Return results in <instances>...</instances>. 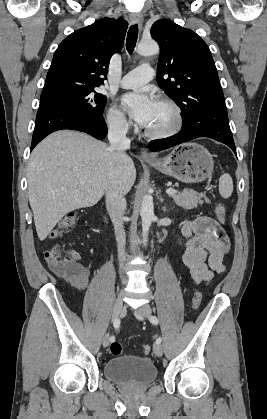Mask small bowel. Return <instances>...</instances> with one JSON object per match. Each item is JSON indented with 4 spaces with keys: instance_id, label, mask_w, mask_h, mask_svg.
<instances>
[{
    "instance_id": "small-bowel-1",
    "label": "small bowel",
    "mask_w": 267,
    "mask_h": 419,
    "mask_svg": "<svg viewBox=\"0 0 267 419\" xmlns=\"http://www.w3.org/2000/svg\"><path fill=\"white\" fill-rule=\"evenodd\" d=\"M182 234L189 238L182 262L188 268L194 284H207L215 272H224V258L230 244L218 222L210 217H199L184 224ZM67 281L78 290L85 291L89 273L84 269L81 275L69 277Z\"/></svg>"
}]
</instances>
